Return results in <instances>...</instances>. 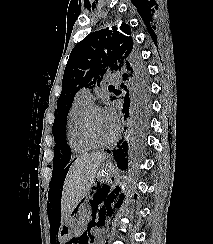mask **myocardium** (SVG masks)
Returning <instances> with one entry per match:
<instances>
[{"instance_id": "1", "label": "myocardium", "mask_w": 213, "mask_h": 244, "mask_svg": "<svg viewBox=\"0 0 213 244\" xmlns=\"http://www.w3.org/2000/svg\"><path fill=\"white\" fill-rule=\"evenodd\" d=\"M94 110H102V108L94 103H91V105L86 109V111L84 112L83 118H82V132L85 136V138L92 143L95 146H108L111 145L118 136V129L117 126L114 127V132L113 135L107 139V140H99L97 139L90 128V115L92 113V111Z\"/></svg>"}]
</instances>
